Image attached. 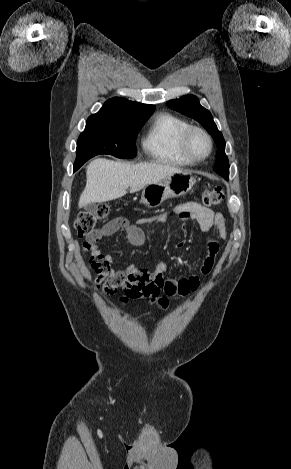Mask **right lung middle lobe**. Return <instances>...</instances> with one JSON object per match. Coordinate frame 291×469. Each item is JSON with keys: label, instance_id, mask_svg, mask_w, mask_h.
Wrapping results in <instances>:
<instances>
[{"label": "right lung middle lobe", "instance_id": "right-lung-middle-lobe-1", "mask_svg": "<svg viewBox=\"0 0 291 469\" xmlns=\"http://www.w3.org/2000/svg\"><path fill=\"white\" fill-rule=\"evenodd\" d=\"M147 118L125 120L88 118L85 130L77 141L74 171L99 154H111L125 159L134 158L137 153L135 138Z\"/></svg>", "mask_w": 291, "mask_h": 469}]
</instances>
